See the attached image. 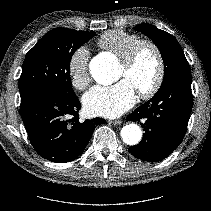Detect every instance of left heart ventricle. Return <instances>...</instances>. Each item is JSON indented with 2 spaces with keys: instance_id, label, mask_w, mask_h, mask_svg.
Instances as JSON below:
<instances>
[{
  "instance_id": "1",
  "label": "left heart ventricle",
  "mask_w": 211,
  "mask_h": 211,
  "mask_svg": "<svg viewBox=\"0 0 211 211\" xmlns=\"http://www.w3.org/2000/svg\"><path fill=\"white\" fill-rule=\"evenodd\" d=\"M156 73L155 54L149 47H144L131 68L125 69L120 65L117 80L125 79L133 85L135 90L140 91L147 89L153 83Z\"/></svg>"
}]
</instances>
